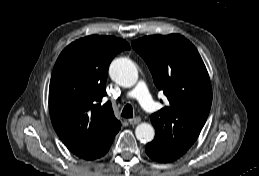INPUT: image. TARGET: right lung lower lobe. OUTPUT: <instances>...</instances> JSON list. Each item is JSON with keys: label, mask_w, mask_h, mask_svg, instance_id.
Masks as SVG:
<instances>
[{"label": "right lung lower lobe", "mask_w": 259, "mask_h": 176, "mask_svg": "<svg viewBox=\"0 0 259 176\" xmlns=\"http://www.w3.org/2000/svg\"><path fill=\"white\" fill-rule=\"evenodd\" d=\"M113 142V141H112ZM112 142H110L108 145H106L95 157H93L92 159H97L100 158L101 156L105 155L107 153V151L109 150Z\"/></svg>", "instance_id": "obj_1"}]
</instances>
